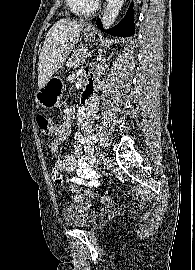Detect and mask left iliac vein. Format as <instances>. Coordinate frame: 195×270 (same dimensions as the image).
I'll return each instance as SVG.
<instances>
[{
  "label": "left iliac vein",
  "mask_w": 195,
  "mask_h": 270,
  "mask_svg": "<svg viewBox=\"0 0 195 270\" xmlns=\"http://www.w3.org/2000/svg\"><path fill=\"white\" fill-rule=\"evenodd\" d=\"M103 162L106 170H110L112 168L113 161L109 156L104 157Z\"/></svg>",
  "instance_id": "1"
}]
</instances>
